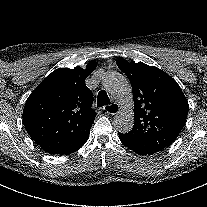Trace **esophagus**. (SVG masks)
<instances>
[{
    "mask_svg": "<svg viewBox=\"0 0 207 207\" xmlns=\"http://www.w3.org/2000/svg\"><path fill=\"white\" fill-rule=\"evenodd\" d=\"M110 115H120L122 113V106L120 104H112L106 109Z\"/></svg>",
    "mask_w": 207,
    "mask_h": 207,
    "instance_id": "esophagus-1",
    "label": "esophagus"
}]
</instances>
